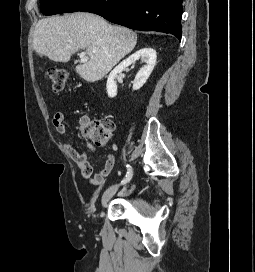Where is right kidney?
Here are the masks:
<instances>
[{"label": "right kidney", "instance_id": "right-kidney-1", "mask_svg": "<svg viewBox=\"0 0 255 272\" xmlns=\"http://www.w3.org/2000/svg\"><path fill=\"white\" fill-rule=\"evenodd\" d=\"M156 51L152 48H142L132 55H130L127 59L122 61L117 67L111 71L107 79V93L108 96L113 98L117 95V84L115 82V78L118 74H120L125 68L134 64L137 60L141 59L142 62H145L146 65L143 66L137 73L135 80L133 82V90L140 89L149 78L151 72L154 69L156 64Z\"/></svg>", "mask_w": 255, "mask_h": 272}]
</instances>
